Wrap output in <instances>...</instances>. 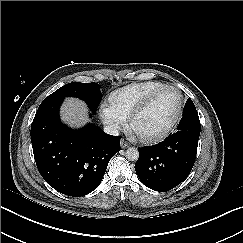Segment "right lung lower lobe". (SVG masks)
I'll use <instances>...</instances> for the list:
<instances>
[{
    "mask_svg": "<svg viewBox=\"0 0 243 243\" xmlns=\"http://www.w3.org/2000/svg\"><path fill=\"white\" fill-rule=\"evenodd\" d=\"M62 101L40 104L31 125L33 153L41 176L51 187L80 197L99 186L109 160L120 151L121 137L107 135L92 124L79 130L62 124Z\"/></svg>",
    "mask_w": 243,
    "mask_h": 243,
    "instance_id": "right-lung-lower-lobe-1",
    "label": "right lung lower lobe"
}]
</instances>
